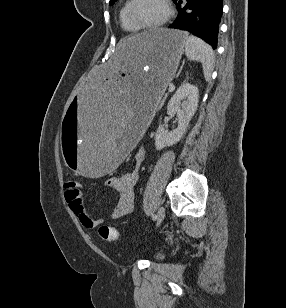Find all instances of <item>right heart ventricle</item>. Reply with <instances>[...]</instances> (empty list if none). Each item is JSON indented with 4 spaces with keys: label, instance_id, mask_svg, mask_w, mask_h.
<instances>
[{
    "label": "right heart ventricle",
    "instance_id": "e07e8e85",
    "mask_svg": "<svg viewBox=\"0 0 286 308\" xmlns=\"http://www.w3.org/2000/svg\"><path fill=\"white\" fill-rule=\"evenodd\" d=\"M131 0H125L122 4L120 11H119V21L121 28L128 33H137L141 29L136 27L129 19L128 17V9L130 5Z\"/></svg>",
    "mask_w": 286,
    "mask_h": 308
}]
</instances>
